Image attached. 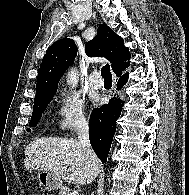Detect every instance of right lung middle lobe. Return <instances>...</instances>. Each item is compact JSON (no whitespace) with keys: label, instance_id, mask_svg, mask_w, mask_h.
I'll list each match as a JSON object with an SVG mask.
<instances>
[{"label":"right lung middle lobe","instance_id":"right-lung-middle-lobe-1","mask_svg":"<svg viewBox=\"0 0 189 195\" xmlns=\"http://www.w3.org/2000/svg\"><path fill=\"white\" fill-rule=\"evenodd\" d=\"M53 96L44 99L42 101L36 102L34 103L33 106V113H32V117L30 120L29 125L32 127H35L38 123V121L40 120L42 113L45 111L46 107L48 106V104L50 103V101L52 100ZM29 131V129H27Z\"/></svg>","mask_w":189,"mask_h":195}]
</instances>
